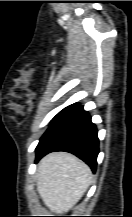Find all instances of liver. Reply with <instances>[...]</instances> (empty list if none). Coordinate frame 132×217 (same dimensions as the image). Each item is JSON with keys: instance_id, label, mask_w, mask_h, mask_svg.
I'll use <instances>...</instances> for the list:
<instances>
[{"instance_id": "obj_1", "label": "liver", "mask_w": 132, "mask_h": 217, "mask_svg": "<svg viewBox=\"0 0 132 217\" xmlns=\"http://www.w3.org/2000/svg\"><path fill=\"white\" fill-rule=\"evenodd\" d=\"M92 183L87 164L66 152H53L38 163L37 191L44 204L54 213L71 210Z\"/></svg>"}]
</instances>
